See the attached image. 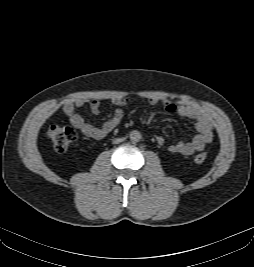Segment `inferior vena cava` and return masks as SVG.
<instances>
[{
  "mask_svg": "<svg viewBox=\"0 0 254 267\" xmlns=\"http://www.w3.org/2000/svg\"><path fill=\"white\" fill-rule=\"evenodd\" d=\"M122 141H123L122 138H118V139H115V140L113 141V143H114V144H117V143H120V142H122Z\"/></svg>",
  "mask_w": 254,
  "mask_h": 267,
  "instance_id": "602c4592",
  "label": "inferior vena cava"
}]
</instances>
